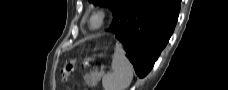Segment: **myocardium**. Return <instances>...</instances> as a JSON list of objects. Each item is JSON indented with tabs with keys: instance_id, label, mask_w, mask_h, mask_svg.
<instances>
[{
	"instance_id": "f54148a6",
	"label": "myocardium",
	"mask_w": 228,
	"mask_h": 90,
	"mask_svg": "<svg viewBox=\"0 0 228 90\" xmlns=\"http://www.w3.org/2000/svg\"><path fill=\"white\" fill-rule=\"evenodd\" d=\"M95 21V23H94ZM106 21V14L103 10H95L91 13L88 26L91 30H99L103 27Z\"/></svg>"
}]
</instances>
